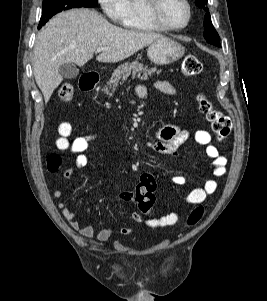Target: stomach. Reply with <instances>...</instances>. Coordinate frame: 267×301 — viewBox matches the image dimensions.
<instances>
[{
	"label": "stomach",
	"mask_w": 267,
	"mask_h": 301,
	"mask_svg": "<svg viewBox=\"0 0 267 301\" xmlns=\"http://www.w3.org/2000/svg\"><path fill=\"white\" fill-rule=\"evenodd\" d=\"M185 53V48L173 39L159 38L152 42L147 55L151 62L156 65H166L179 60Z\"/></svg>",
	"instance_id": "0dacf381"
}]
</instances>
